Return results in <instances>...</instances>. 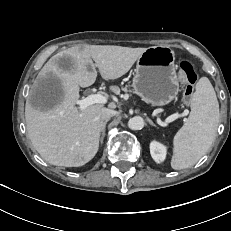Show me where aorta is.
Segmentation results:
<instances>
[{
	"label": "aorta",
	"instance_id": "obj_1",
	"mask_svg": "<svg viewBox=\"0 0 231 231\" xmlns=\"http://www.w3.org/2000/svg\"><path fill=\"white\" fill-rule=\"evenodd\" d=\"M144 119L140 116H135L133 118H130L128 121V127L131 130H141L144 127Z\"/></svg>",
	"mask_w": 231,
	"mask_h": 231
}]
</instances>
